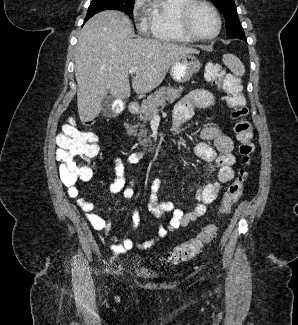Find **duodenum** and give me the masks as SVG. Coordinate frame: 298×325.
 <instances>
[{
  "instance_id": "duodenum-1",
  "label": "duodenum",
  "mask_w": 298,
  "mask_h": 325,
  "mask_svg": "<svg viewBox=\"0 0 298 325\" xmlns=\"http://www.w3.org/2000/svg\"><path fill=\"white\" fill-rule=\"evenodd\" d=\"M139 106L136 102H130L128 106V111L131 115L137 114Z\"/></svg>"
}]
</instances>
